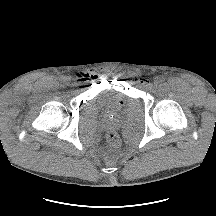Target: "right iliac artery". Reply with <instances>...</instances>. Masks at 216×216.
<instances>
[{
	"label": "right iliac artery",
	"instance_id": "1",
	"mask_svg": "<svg viewBox=\"0 0 216 216\" xmlns=\"http://www.w3.org/2000/svg\"><path fill=\"white\" fill-rule=\"evenodd\" d=\"M64 78H65V77L62 76V77L60 78V80H64Z\"/></svg>",
	"mask_w": 216,
	"mask_h": 216
}]
</instances>
